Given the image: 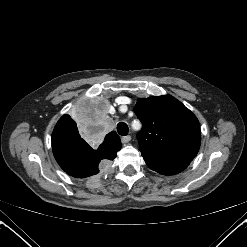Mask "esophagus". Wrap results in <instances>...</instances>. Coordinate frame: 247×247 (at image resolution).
<instances>
[{
    "mask_svg": "<svg viewBox=\"0 0 247 247\" xmlns=\"http://www.w3.org/2000/svg\"><path fill=\"white\" fill-rule=\"evenodd\" d=\"M131 140V136L127 135L121 138L122 143H128Z\"/></svg>",
    "mask_w": 247,
    "mask_h": 247,
    "instance_id": "34e87169",
    "label": "esophagus"
}]
</instances>
